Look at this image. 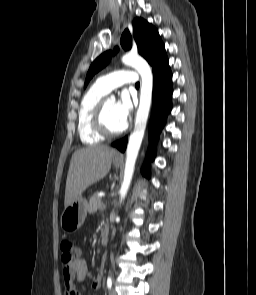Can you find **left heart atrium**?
<instances>
[{"label":"left heart atrium","mask_w":256,"mask_h":295,"mask_svg":"<svg viewBox=\"0 0 256 295\" xmlns=\"http://www.w3.org/2000/svg\"><path fill=\"white\" fill-rule=\"evenodd\" d=\"M132 110V103L127 93H123L115 104V112L119 121L125 126L129 120Z\"/></svg>","instance_id":"1"}]
</instances>
